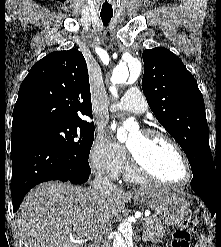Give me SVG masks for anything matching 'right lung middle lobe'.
<instances>
[{
  "label": "right lung middle lobe",
  "mask_w": 221,
  "mask_h": 247,
  "mask_svg": "<svg viewBox=\"0 0 221 247\" xmlns=\"http://www.w3.org/2000/svg\"><path fill=\"white\" fill-rule=\"evenodd\" d=\"M94 128L93 123L84 121L48 122L25 126L12 133L44 139L70 156L88 161L94 140Z\"/></svg>",
  "instance_id": "right-lung-middle-lobe-1"
}]
</instances>
